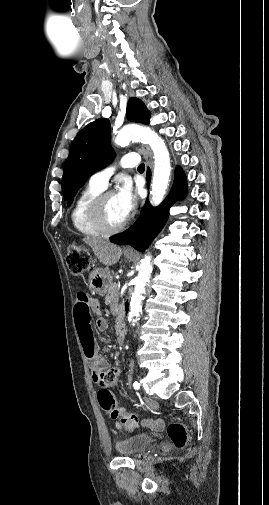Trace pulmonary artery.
Listing matches in <instances>:
<instances>
[{"label": "pulmonary artery", "instance_id": "1", "mask_svg": "<svg viewBox=\"0 0 269 505\" xmlns=\"http://www.w3.org/2000/svg\"><path fill=\"white\" fill-rule=\"evenodd\" d=\"M139 163V156L135 153H129L124 155L118 163L110 165L96 173H94L90 178V183L93 185L105 189L110 177L113 175L117 167H134Z\"/></svg>", "mask_w": 269, "mask_h": 505}]
</instances>
